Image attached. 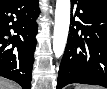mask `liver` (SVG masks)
I'll return each mask as SVG.
<instances>
[{
	"instance_id": "liver-1",
	"label": "liver",
	"mask_w": 107,
	"mask_h": 89,
	"mask_svg": "<svg viewBox=\"0 0 107 89\" xmlns=\"http://www.w3.org/2000/svg\"><path fill=\"white\" fill-rule=\"evenodd\" d=\"M0 89H20L18 85L15 83L1 79L0 81Z\"/></svg>"
}]
</instances>
